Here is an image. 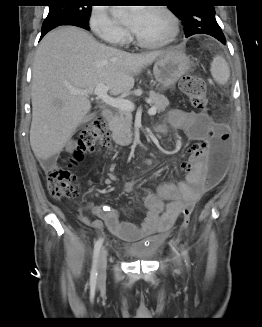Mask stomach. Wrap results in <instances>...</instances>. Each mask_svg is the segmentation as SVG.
<instances>
[{
    "instance_id": "obj_1",
    "label": "stomach",
    "mask_w": 262,
    "mask_h": 327,
    "mask_svg": "<svg viewBox=\"0 0 262 327\" xmlns=\"http://www.w3.org/2000/svg\"><path fill=\"white\" fill-rule=\"evenodd\" d=\"M190 58L180 50L161 55L154 64L153 74L162 90L171 89L191 68Z\"/></svg>"
}]
</instances>
